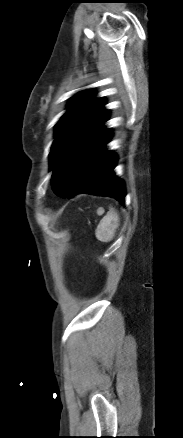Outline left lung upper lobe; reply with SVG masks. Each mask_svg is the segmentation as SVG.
Returning <instances> with one entry per match:
<instances>
[{"instance_id":"left-lung-upper-lobe-1","label":"left lung upper lobe","mask_w":183,"mask_h":438,"mask_svg":"<svg viewBox=\"0 0 183 438\" xmlns=\"http://www.w3.org/2000/svg\"><path fill=\"white\" fill-rule=\"evenodd\" d=\"M104 104L103 98H94L88 90L72 97L68 111L56 124V139L50 152L51 169L76 144L103 125L109 115Z\"/></svg>"}]
</instances>
